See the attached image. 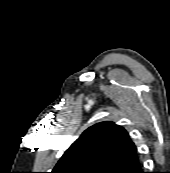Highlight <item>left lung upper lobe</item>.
<instances>
[{
	"mask_svg": "<svg viewBox=\"0 0 170 173\" xmlns=\"http://www.w3.org/2000/svg\"><path fill=\"white\" fill-rule=\"evenodd\" d=\"M138 159L127 131L113 122L86 129L65 151L51 173H117Z\"/></svg>",
	"mask_w": 170,
	"mask_h": 173,
	"instance_id": "5c2ea615",
	"label": "left lung upper lobe"
}]
</instances>
